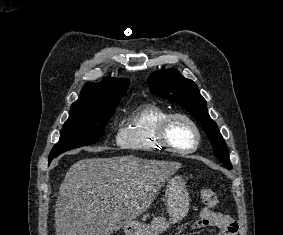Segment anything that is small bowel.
Masks as SVG:
<instances>
[{
	"instance_id": "1",
	"label": "small bowel",
	"mask_w": 283,
	"mask_h": 235,
	"mask_svg": "<svg viewBox=\"0 0 283 235\" xmlns=\"http://www.w3.org/2000/svg\"><path fill=\"white\" fill-rule=\"evenodd\" d=\"M214 226L219 229L218 235H236L238 222L236 219L221 213H215L209 209H203L199 219L195 222L194 228Z\"/></svg>"
}]
</instances>
